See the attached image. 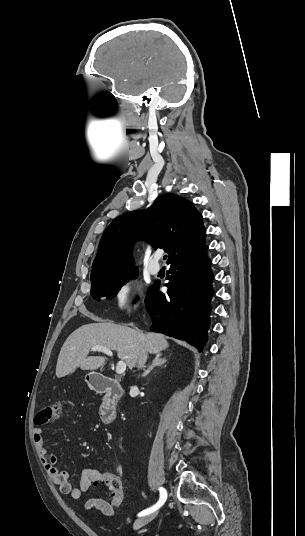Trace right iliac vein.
Here are the masks:
<instances>
[{"mask_svg": "<svg viewBox=\"0 0 305 536\" xmlns=\"http://www.w3.org/2000/svg\"><path fill=\"white\" fill-rule=\"evenodd\" d=\"M157 513L149 514L143 517L138 518L134 523V529H139L142 526L149 523L151 520H153L156 517Z\"/></svg>", "mask_w": 305, "mask_h": 536, "instance_id": "right-iliac-vein-1", "label": "right iliac vein"}]
</instances>
